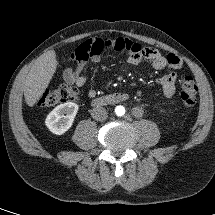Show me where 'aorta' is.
Masks as SVG:
<instances>
[{"instance_id":"obj_1","label":"aorta","mask_w":215,"mask_h":215,"mask_svg":"<svg viewBox=\"0 0 215 215\" xmlns=\"http://www.w3.org/2000/svg\"><path fill=\"white\" fill-rule=\"evenodd\" d=\"M115 113L117 116H123L125 114V108L123 106H117L115 108Z\"/></svg>"}]
</instances>
